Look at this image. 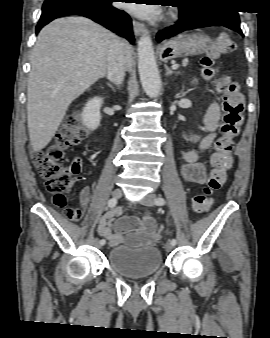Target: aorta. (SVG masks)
<instances>
[{"mask_svg":"<svg viewBox=\"0 0 270 338\" xmlns=\"http://www.w3.org/2000/svg\"><path fill=\"white\" fill-rule=\"evenodd\" d=\"M138 70L145 93L155 98L159 95L161 81L154 55L153 43L149 35L144 34L138 41Z\"/></svg>","mask_w":270,"mask_h":338,"instance_id":"obj_1","label":"aorta"}]
</instances>
